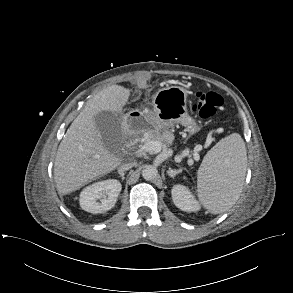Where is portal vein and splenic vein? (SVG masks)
Here are the masks:
<instances>
[{
    "label": "portal vein and splenic vein",
    "mask_w": 293,
    "mask_h": 293,
    "mask_svg": "<svg viewBox=\"0 0 293 293\" xmlns=\"http://www.w3.org/2000/svg\"><path fill=\"white\" fill-rule=\"evenodd\" d=\"M162 143L159 142V141H154V140H146L141 149L144 150V151H147V152H155V153H158L161 151V148H162ZM194 159L196 161H198L200 159V156L199 154L195 153L194 154Z\"/></svg>",
    "instance_id": "18ae733b"
}]
</instances>
